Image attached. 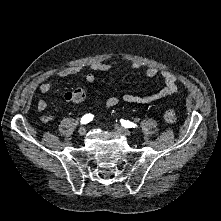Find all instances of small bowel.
I'll use <instances>...</instances> for the list:
<instances>
[{
	"instance_id": "1",
	"label": "small bowel",
	"mask_w": 221,
	"mask_h": 221,
	"mask_svg": "<svg viewBox=\"0 0 221 221\" xmlns=\"http://www.w3.org/2000/svg\"><path fill=\"white\" fill-rule=\"evenodd\" d=\"M131 67L136 69V68H139V65L132 64ZM114 68H115L114 64L104 63L101 61H94L90 65V69L94 72H97V71L110 72V71L114 70ZM81 71H82V66L70 65V66H66V67L59 69L57 71L56 75L59 77H72V76L78 75ZM144 74L148 78H154V77L160 76L163 80V83H164L163 87L160 90H158L150 95H147V96H140V95H134V94H129V93L124 94L121 97L113 96V97H110L105 102V106L109 107V108L114 107V106L118 105L120 103V101H123L126 103L144 105V104H149V103L155 102L157 100L177 94V92H178L177 78L171 72H168V71L160 72L155 67H149L145 70ZM94 80H95L94 74L89 73L86 76V81L88 83H92V82H94ZM54 86L55 85H54L53 81H45L40 84L39 90L42 93H49L50 91L53 90ZM72 92L73 91L67 92L64 94L65 100L69 101L68 96ZM47 106H48V104H47L46 100H44V99L38 100L37 108L40 111H44L47 108ZM40 119L42 122L48 123V122L53 121L54 117L52 115L45 114V115H42Z\"/></svg>"
}]
</instances>
